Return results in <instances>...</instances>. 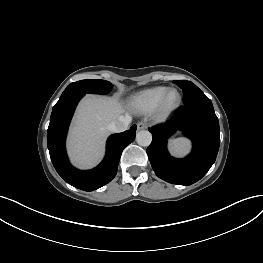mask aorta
<instances>
[{
  "label": "aorta",
  "mask_w": 263,
  "mask_h": 263,
  "mask_svg": "<svg viewBox=\"0 0 263 263\" xmlns=\"http://www.w3.org/2000/svg\"><path fill=\"white\" fill-rule=\"evenodd\" d=\"M136 141L140 146H149L152 141V135L147 130H141L136 135Z\"/></svg>",
  "instance_id": "1"
}]
</instances>
